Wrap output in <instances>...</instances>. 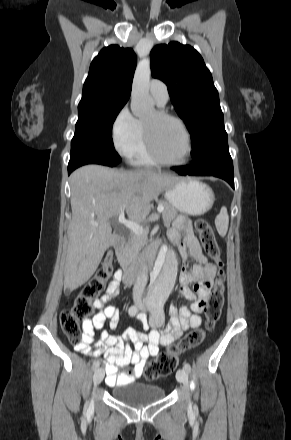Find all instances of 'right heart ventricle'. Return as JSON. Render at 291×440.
<instances>
[{"label": "right heart ventricle", "instance_id": "1", "mask_svg": "<svg viewBox=\"0 0 291 440\" xmlns=\"http://www.w3.org/2000/svg\"><path fill=\"white\" fill-rule=\"evenodd\" d=\"M138 122L140 127L138 141L133 150L127 156L128 161L131 165L137 167H157L159 163L152 158L146 146L143 122L140 120H138Z\"/></svg>", "mask_w": 291, "mask_h": 440}]
</instances>
